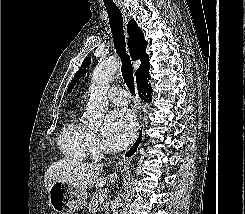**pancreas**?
Masks as SVG:
<instances>
[{
	"mask_svg": "<svg viewBox=\"0 0 245 214\" xmlns=\"http://www.w3.org/2000/svg\"><path fill=\"white\" fill-rule=\"evenodd\" d=\"M100 196H103V194L101 192H97V193H94L93 196L91 197L89 206H88L91 212H95ZM105 214H109L108 206L105 207Z\"/></svg>",
	"mask_w": 245,
	"mask_h": 214,
	"instance_id": "1",
	"label": "pancreas"
}]
</instances>
